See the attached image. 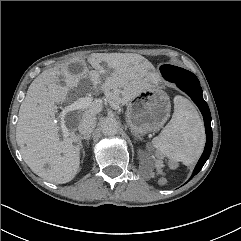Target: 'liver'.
Returning <instances> with one entry per match:
<instances>
[{"mask_svg": "<svg viewBox=\"0 0 241 241\" xmlns=\"http://www.w3.org/2000/svg\"><path fill=\"white\" fill-rule=\"evenodd\" d=\"M95 69L89 71L80 60L81 72L71 74L66 64L61 70L54 68L42 72L29 86L19 109L16 126V141L25 163L37 175L56 184L70 182L80 166V145L74 130L60 140L59 126L55 123L56 103L66 99L69 91L82 80H89L94 87L100 86L106 101L114 110L126 105L143 90L151 88L153 75L149 61L137 54L96 53L88 58ZM105 67L112 70L108 75ZM67 77L66 85L58 83L59 75ZM103 76H105L103 78ZM103 78V79H102ZM65 116V124H78L84 113L97 114L100 103ZM50 163L46 171L44 165Z\"/></svg>", "mask_w": 241, "mask_h": 241, "instance_id": "1", "label": "liver"}]
</instances>
